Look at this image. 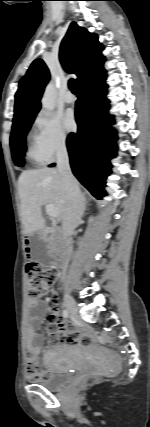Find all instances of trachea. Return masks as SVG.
Here are the masks:
<instances>
[{
  "label": "trachea",
  "instance_id": "trachea-1",
  "mask_svg": "<svg viewBox=\"0 0 150 427\" xmlns=\"http://www.w3.org/2000/svg\"><path fill=\"white\" fill-rule=\"evenodd\" d=\"M68 86H69V89L72 91V93H76L77 92V88H76V81L74 80V79H70L69 80V82H68Z\"/></svg>",
  "mask_w": 150,
  "mask_h": 427
}]
</instances>
